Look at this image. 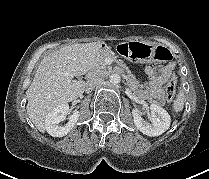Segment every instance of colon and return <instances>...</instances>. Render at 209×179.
Segmentation results:
<instances>
[{
  "label": "colon",
  "instance_id": "5ec220e1",
  "mask_svg": "<svg viewBox=\"0 0 209 179\" xmlns=\"http://www.w3.org/2000/svg\"><path fill=\"white\" fill-rule=\"evenodd\" d=\"M118 52L132 62L163 61L170 58L168 50L159 46L146 45L140 42L124 43L118 46ZM177 78L173 74L165 88V99L169 103L175 96Z\"/></svg>",
  "mask_w": 209,
  "mask_h": 179
}]
</instances>
